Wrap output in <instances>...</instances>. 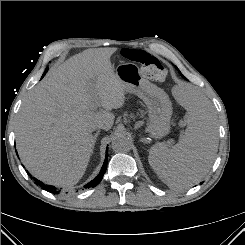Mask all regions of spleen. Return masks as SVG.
<instances>
[{
    "mask_svg": "<svg viewBox=\"0 0 245 245\" xmlns=\"http://www.w3.org/2000/svg\"><path fill=\"white\" fill-rule=\"evenodd\" d=\"M182 103L188 111L183 138L172 148L155 144L148 157L154 172L171 189H185L204 178L219 144L217 116L208 98L186 86Z\"/></svg>",
    "mask_w": 245,
    "mask_h": 245,
    "instance_id": "1",
    "label": "spleen"
}]
</instances>
